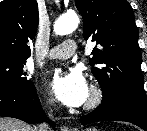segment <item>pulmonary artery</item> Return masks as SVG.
<instances>
[{"label":"pulmonary artery","instance_id":"obj_1","mask_svg":"<svg viewBox=\"0 0 147 131\" xmlns=\"http://www.w3.org/2000/svg\"><path fill=\"white\" fill-rule=\"evenodd\" d=\"M77 45L73 40H66L58 46L53 47L48 57L50 59H68L76 52Z\"/></svg>","mask_w":147,"mask_h":131}]
</instances>
